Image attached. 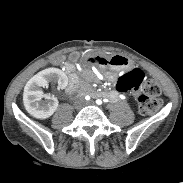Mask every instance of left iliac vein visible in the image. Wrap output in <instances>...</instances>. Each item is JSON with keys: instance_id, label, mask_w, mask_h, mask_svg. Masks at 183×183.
<instances>
[{"instance_id": "1", "label": "left iliac vein", "mask_w": 183, "mask_h": 183, "mask_svg": "<svg viewBox=\"0 0 183 183\" xmlns=\"http://www.w3.org/2000/svg\"><path fill=\"white\" fill-rule=\"evenodd\" d=\"M86 104L87 105H93L94 103L93 102H87Z\"/></svg>"}]
</instances>
